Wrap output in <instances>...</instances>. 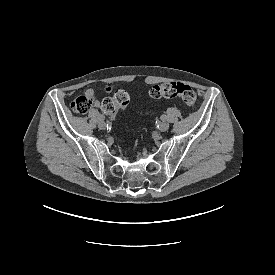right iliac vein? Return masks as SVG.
<instances>
[{"label": "right iliac vein", "instance_id": "obj_1", "mask_svg": "<svg viewBox=\"0 0 275 275\" xmlns=\"http://www.w3.org/2000/svg\"><path fill=\"white\" fill-rule=\"evenodd\" d=\"M98 127L101 129V130H104L106 128V124L104 122L103 119H100L99 122H98Z\"/></svg>", "mask_w": 275, "mask_h": 275}]
</instances>
